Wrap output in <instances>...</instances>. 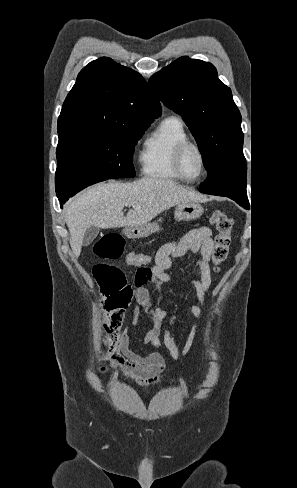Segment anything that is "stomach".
<instances>
[{"label": "stomach", "instance_id": "1", "mask_svg": "<svg viewBox=\"0 0 297 488\" xmlns=\"http://www.w3.org/2000/svg\"><path fill=\"white\" fill-rule=\"evenodd\" d=\"M204 213L203 206L198 201H189L179 203L174 212L176 221L196 220ZM159 231V225L156 222H148L139 226H129L124 229V234L128 238H144Z\"/></svg>", "mask_w": 297, "mask_h": 488}]
</instances>
